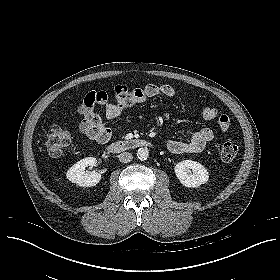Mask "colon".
<instances>
[{
  "instance_id": "5ec220e1",
  "label": "colon",
  "mask_w": 280,
  "mask_h": 280,
  "mask_svg": "<svg viewBox=\"0 0 280 280\" xmlns=\"http://www.w3.org/2000/svg\"><path fill=\"white\" fill-rule=\"evenodd\" d=\"M208 117L216 118L220 128L227 130L230 126L229 117L225 114H219L215 109L208 114ZM107 134V131L98 128L90 130V135L96 139H106ZM70 142L71 135L66 129L52 126L47 133L46 150L50 157L59 158L68 150ZM237 152L238 148L234 143H225L221 148V159L225 162H231L235 159Z\"/></svg>"
}]
</instances>
